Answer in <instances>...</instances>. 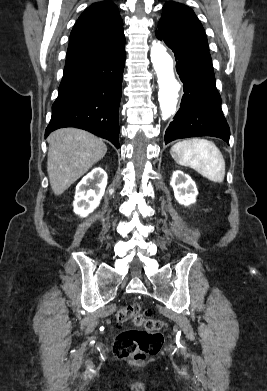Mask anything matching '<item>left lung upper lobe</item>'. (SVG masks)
<instances>
[{
  "label": "left lung upper lobe",
  "instance_id": "obj_1",
  "mask_svg": "<svg viewBox=\"0 0 267 391\" xmlns=\"http://www.w3.org/2000/svg\"><path fill=\"white\" fill-rule=\"evenodd\" d=\"M208 49L203 26L193 10L177 2H167L162 9L158 30Z\"/></svg>",
  "mask_w": 267,
  "mask_h": 391
}]
</instances>
